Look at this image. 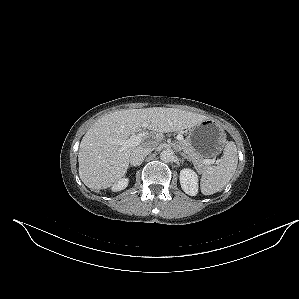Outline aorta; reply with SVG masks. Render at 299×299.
<instances>
[{
	"instance_id": "aorta-1",
	"label": "aorta",
	"mask_w": 299,
	"mask_h": 299,
	"mask_svg": "<svg viewBox=\"0 0 299 299\" xmlns=\"http://www.w3.org/2000/svg\"><path fill=\"white\" fill-rule=\"evenodd\" d=\"M175 157L174 151L172 149H164L161 153H160V159L163 162H171L173 161Z\"/></svg>"
}]
</instances>
